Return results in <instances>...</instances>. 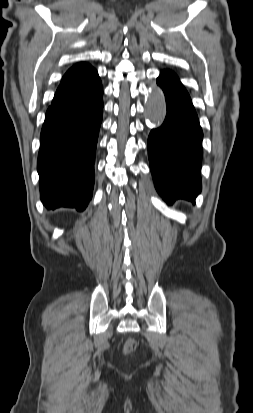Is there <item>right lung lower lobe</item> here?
<instances>
[{
  "instance_id": "98d812e1",
  "label": "right lung lower lobe",
  "mask_w": 253,
  "mask_h": 413,
  "mask_svg": "<svg viewBox=\"0 0 253 413\" xmlns=\"http://www.w3.org/2000/svg\"><path fill=\"white\" fill-rule=\"evenodd\" d=\"M102 95L100 82L77 98L51 105L46 112L37 170L40 197L48 209L83 211L92 198Z\"/></svg>"
}]
</instances>
